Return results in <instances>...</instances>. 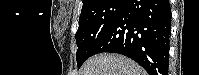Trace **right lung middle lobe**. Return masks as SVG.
<instances>
[{
  "mask_svg": "<svg viewBox=\"0 0 199 75\" xmlns=\"http://www.w3.org/2000/svg\"><path fill=\"white\" fill-rule=\"evenodd\" d=\"M127 0H104L82 9L76 32L78 68L93 55L94 49L120 16Z\"/></svg>",
  "mask_w": 199,
  "mask_h": 75,
  "instance_id": "obj_1",
  "label": "right lung middle lobe"
}]
</instances>
